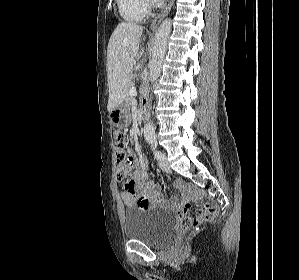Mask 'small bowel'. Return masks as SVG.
Segmentation results:
<instances>
[{
	"label": "small bowel",
	"instance_id": "small-bowel-1",
	"mask_svg": "<svg viewBox=\"0 0 299 280\" xmlns=\"http://www.w3.org/2000/svg\"><path fill=\"white\" fill-rule=\"evenodd\" d=\"M130 178L124 184V191L121 192V199L125 206L138 208H148L151 206L171 207L180 209L182 200L174 197L167 201L164 199L161 188L146 179L147 160L144 157L136 159L133 155V165ZM183 182H178V187H181Z\"/></svg>",
	"mask_w": 299,
	"mask_h": 280
}]
</instances>
